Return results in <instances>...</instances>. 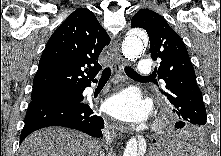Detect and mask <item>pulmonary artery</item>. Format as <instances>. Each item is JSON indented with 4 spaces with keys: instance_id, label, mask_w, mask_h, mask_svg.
Returning <instances> with one entry per match:
<instances>
[{
    "instance_id": "obj_1",
    "label": "pulmonary artery",
    "mask_w": 221,
    "mask_h": 156,
    "mask_svg": "<svg viewBox=\"0 0 221 156\" xmlns=\"http://www.w3.org/2000/svg\"><path fill=\"white\" fill-rule=\"evenodd\" d=\"M153 67L148 59H142L138 64V73L142 76H147L151 74Z\"/></svg>"
}]
</instances>
